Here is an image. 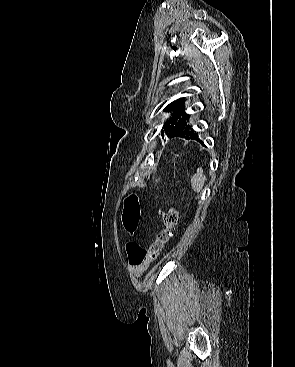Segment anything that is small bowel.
<instances>
[{"label": "small bowel", "mask_w": 295, "mask_h": 367, "mask_svg": "<svg viewBox=\"0 0 295 367\" xmlns=\"http://www.w3.org/2000/svg\"><path fill=\"white\" fill-rule=\"evenodd\" d=\"M149 267V263H143L141 265H132L130 264V269L133 274L137 277L142 276Z\"/></svg>", "instance_id": "small-bowel-1"}]
</instances>
